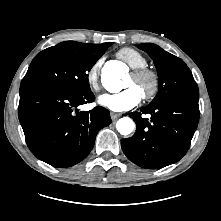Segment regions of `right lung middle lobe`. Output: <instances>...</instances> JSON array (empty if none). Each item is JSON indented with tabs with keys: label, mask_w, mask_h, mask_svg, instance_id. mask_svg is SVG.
I'll use <instances>...</instances> for the list:
<instances>
[{
	"label": "right lung middle lobe",
	"mask_w": 221,
	"mask_h": 221,
	"mask_svg": "<svg viewBox=\"0 0 221 221\" xmlns=\"http://www.w3.org/2000/svg\"><path fill=\"white\" fill-rule=\"evenodd\" d=\"M112 43L65 41L36 55L22 84L45 83L73 92L90 90L88 72Z\"/></svg>",
	"instance_id": "1"
}]
</instances>
